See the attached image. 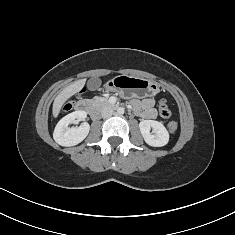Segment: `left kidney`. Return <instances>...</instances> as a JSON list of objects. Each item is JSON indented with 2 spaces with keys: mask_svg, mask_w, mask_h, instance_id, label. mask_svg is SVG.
Masks as SVG:
<instances>
[{
  "mask_svg": "<svg viewBox=\"0 0 235 235\" xmlns=\"http://www.w3.org/2000/svg\"><path fill=\"white\" fill-rule=\"evenodd\" d=\"M139 128L145 142L150 146L162 147L169 141V133L162 122L143 120L139 123ZM151 128L153 129V134L150 133Z\"/></svg>",
  "mask_w": 235,
  "mask_h": 235,
  "instance_id": "left-kidney-1",
  "label": "left kidney"
}]
</instances>
